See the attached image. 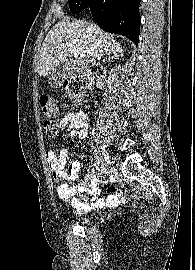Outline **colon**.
Returning <instances> with one entry per match:
<instances>
[{
  "label": "colon",
  "mask_w": 195,
  "mask_h": 270,
  "mask_svg": "<svg viewBox=\"0 0 195 270\" xmlns=\"http://www.w3.org/2000/svg\"><path fill=\"white\" fill-rule=\"evenodd\" d=\"M62 89L65 95L73 102L79 103L83 100L86 85L80 78L67 79L62 84ZM40 104L44 114L48 117V120L44 123L45 132L48 136H55L59 130V123L55 119L57 116V104L53 97L48 94H43L40 97ZM65 178L58 180L59 187L62 190H66L67 186L63 184Z\"/></svg>",
  "instance_id": "colon-1"
}]
</instances>
